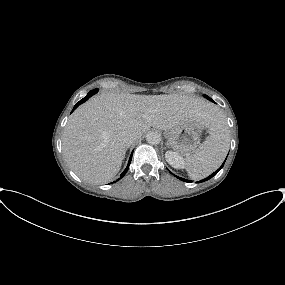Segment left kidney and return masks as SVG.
<instances>
[{
	"label": "left kidney",
	"mask_w": 285,
	"mask_h": 285,
	"mask_svg": "<svg viewBox=\"0 0 285 285\" xmlns=\"http://www.w3.org/2000/svg\"><path fill=\"white\" fill-rule=\"evenodd\" d=\"M166 161L176 169L184 168V160L183 158L177 153L173 151H167L165 153Z\"/></svg>",
	"instance_id": "obj_1"
}]
</instances>
